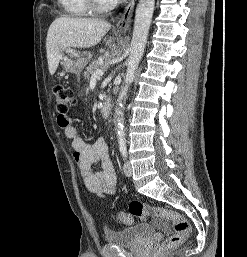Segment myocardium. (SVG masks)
Wrapping results in <instances>:
<instances>
[{"label":"myocardium","instance_id":"myocardium-1","mask_svg":"<svg viewBox=\"0 0 247 257\" xmlns=\"http://www.w3.org/2000/svg\"><path fill=\"white\" fill-rule=\"evenodd\" d=\"M89 8L97 13L111 10L115 6V1L101 2L100 0H86Z\"/></svg>","mask_w":247,"mask_h":257}]
</instances>
